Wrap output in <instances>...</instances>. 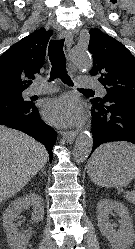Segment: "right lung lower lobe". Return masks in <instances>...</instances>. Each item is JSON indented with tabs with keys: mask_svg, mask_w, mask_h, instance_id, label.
Returning a JSON list of instances; mask_svg holds the SVG:
<instances>
[{
	"mask_svg": "<svg viewBox=\"0 0 135 249\" xmlns=\"http://www.w3.org/2000/svg\"><path fill=\"white\" fill-rule=\"evenodd\" d=\"M0 124L36 138L45 145L52 161L56 131L40 119L39 112L32 102L0 96Z\"/></svg>",
	"mask_w": 135,
	"mask_h": 249,
	"instance_id": "obj_1",
	"label": "right lung lower lobe"
}]
</instances>
